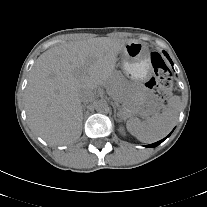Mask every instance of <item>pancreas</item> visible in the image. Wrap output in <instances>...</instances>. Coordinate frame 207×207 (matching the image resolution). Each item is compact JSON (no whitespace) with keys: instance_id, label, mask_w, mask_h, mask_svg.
Returning a JSON list of instances; mask_svg holds the SVG:
<instances>
[{"instance_id":"cf45deb5","label":"pancreas","mask_w":207,"mask_h":207,"mask_svg":"<svg viewBox=\"0 0 207 207\" xmlns=\"http://www.w3.org/2000/svg\"><path fill=\"white\" fill-rule=\"evenodd\" d=\"M109 86L111 88V94L119 101L121 99V92L117 84L111 83ZM145 112H150V110L147 109Z\"/></svg>"}]
</instances>
